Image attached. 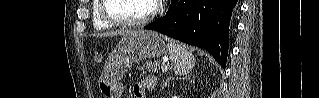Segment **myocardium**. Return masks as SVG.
Segmentation results:
<instances>
[{"label":"myocardium","mask_w":319,"mask_h":98,"mask_svg":"<svg viewBox=\"0 0 319 98\" xmlns=\"http://www.w3.org/2000/svg\"><path fill=\"white\" fill-rule=\"evenodd\" d=\"M152 1V0H151ZM108 0H101L100 14L102 19L111 26L123 27V28H139L149 23L159 12L160 5L158 1H152L151 11L141 19L138 20H122L112 17L107 11Z\"/></svg>","instance_id":"f54148a6"}]
</instances>
